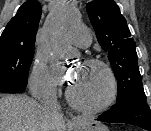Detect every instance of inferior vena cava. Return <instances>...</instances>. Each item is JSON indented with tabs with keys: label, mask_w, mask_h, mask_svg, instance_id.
<instances>
[{
	"label": "inferior vena cava",
	"mask_w": 151,
	"mask_h": 131,
	"mask_svg": "<svg viewBox=\"0 0 151 131\" xmlns=\"http://www.w3.org/2000/svg\"><path fill=\"white\" fill-rule=\"evenodd\" d=\"M40 101L44 109L53 114L56 121L61 120V115L59 113L60 105L54 91L48 89L45 90Z\"/></svg>",
	"instance_id": "1"
}]
</instances>
